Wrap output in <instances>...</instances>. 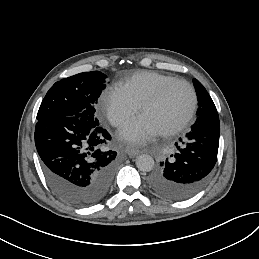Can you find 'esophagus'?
<instances>
[{
	"instance_id": "esophagus-1",
	"label": "esophagus",
	"mask_w": 259,
	"mask_h": 259,
	"mask_svg": "<svg viewBox=\"0 0 259 259\" xmlns=\"http://www.w3.org/2000/svg\"><path fill=\"white\" fill-rule=\"evenodd\" d=\"M126 153L130 156H137L140 154V151L138 149H135L133 147L127 146L126 147Z\"/></svg>"
}]
</instances>
